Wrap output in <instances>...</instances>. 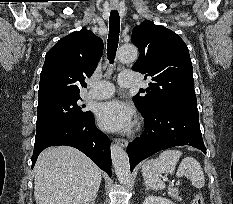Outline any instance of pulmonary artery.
I'll list each match as a JSON object with an SVG mask.
<instances>
[{
    "mask_svg": "<svg viewBox=\"0 0 233 204\" xmlns=\"http://www.w3.org/2000/svg\"><path fill=\"white\" fill-rule=\"evenodd\" d=\"M118 84L123 88L131 87L135 84V77L131 73H122L118 77ZM114 86L108 81H99L91 84V89L87 97L91 99H105L114 94Z\"/></svg>",
    "mask_w": 233,
    "mask_h": 204,
    "instance_id": "e3ab8cb5",
    "label": "pulmonary artery"
}]
</instances>
